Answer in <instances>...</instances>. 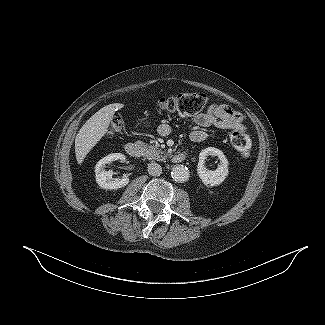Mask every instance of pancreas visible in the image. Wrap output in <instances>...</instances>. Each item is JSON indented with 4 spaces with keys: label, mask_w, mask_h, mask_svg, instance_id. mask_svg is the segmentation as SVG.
Returning <instances> with one entry per match:
<instances>
[{
    "label": "pancreas",
    "mask_w": 325,
    "mask_h": 325,
    "mask_svg": "<svg viewBox=\"0 0 325 325\" xmlns=\"http://www.w3.org/2000/svg\"><path fill=\"white\" fill-rule=\"evenodd\" d=\"M143 156L148 160L164 161L167 155L159 148L158 144H146L143 147Z\"/></svg>",
    "instance_id": "cf45deb5"
}]
</instances>
